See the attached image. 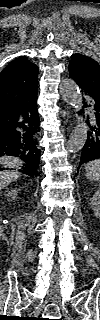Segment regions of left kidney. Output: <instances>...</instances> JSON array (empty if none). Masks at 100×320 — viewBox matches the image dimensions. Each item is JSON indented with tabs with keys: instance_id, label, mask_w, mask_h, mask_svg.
Masks as SVG:
<instances>
[{
	"instance_id": "1",
	"label": "left kidney",
	"mask_w": 100,
	"mask_h": 320,
	"mask_svg": "<svg viewBox=\"0 0 100 320\" xmlns=\"http://www.w3.org/2000/svg\"><path fill=\"white\" fill-rule=\"evenodd\" d=\"M90 206L94 214L98 216L100 214V191L99 190H97L93 195V197L91 198Z\"/></svg>"
}]
</instances>
